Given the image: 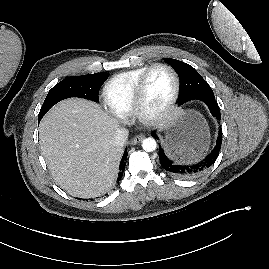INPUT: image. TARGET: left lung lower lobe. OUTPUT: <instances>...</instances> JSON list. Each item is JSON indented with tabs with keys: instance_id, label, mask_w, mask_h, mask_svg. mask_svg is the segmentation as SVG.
Returning a JSON list of instances; mask_svg holds the SVG:
<instances>
[{
	"instance_id": "0a47b994",
	"label": "left lung lower lobe",
	"mask_w": 269,
	"mask_h": 269,
	"mask_svg": "<svg viewBox=\"0 0 269 269\" xmlns=\"http://www.w3.org/2000/svg\"><path fill=\"white\" fill-rule=\"evenodd\" d=\"M194 99L201 100L202 102H204L208 106L210 112L212 113L214 117H216L217 119L221 117L219 106L215 100V97L205 96V97L194 98ZM183 103L185 102H179V105ZM151 134L152 136L158 138L155 131H152ZM221 144H222V131L220 128L219 135L216 141V146L211 151V153H209L206 157H204L200 161H195L193 163L181 162V161H177L174 158H171L167 153L164 152V150L159 145L160 146L159 159H160L161 166L167 172L180 178L196 177L215 163L219 155Z\"/></svg>"
}]
</instances>
